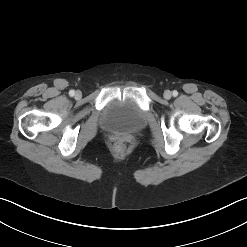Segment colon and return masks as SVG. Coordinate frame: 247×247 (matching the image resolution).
<instances>
[{
    "label": "colon",
    "instance_id": "colon-1",
    "mask_svg": "<svg viewBox=\"0 0 247 247\" xmlns=\"http://www.w3.org/2000/svg\"><path fill=\"white\" fill-rule=\"evenodd\" d=\"M116 150H117L119 153H122V152H123V146H122L121 144L117 145Z\"/></svg>",
    "mask_w": 247,
    "mask_h": 247
}]
</instances>
